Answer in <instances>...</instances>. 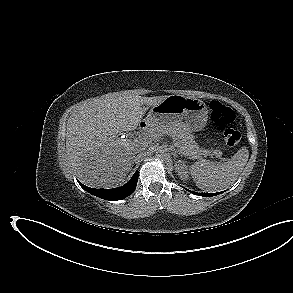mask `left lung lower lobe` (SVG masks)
Listing matches in <instances>:
<instances>
[{"label": "left lung lower lobe", "instance_id": "obj_1", "mask_svg": "<svg viewBox=\"0 0 293 293\" xmlns=\"http://www.w3.org/2000/svg\"><path fill=\"white\" fill-rule=\"evenodd\" d=\"M190 192H192V191H190ZM192 193L196 194L198 196H215V195H218V194H220L222 192H217V193H195V192H192Z\"/></svg>", "mask_w": 293, "mask_h": 293}]
</instances>
